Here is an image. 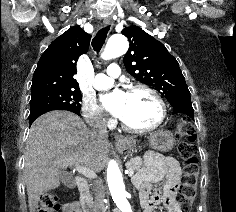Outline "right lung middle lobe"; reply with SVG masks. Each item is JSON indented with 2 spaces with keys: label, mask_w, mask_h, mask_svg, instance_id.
<instances>
[{
  "label": "right lung middle lobe",
  "mask_w": 236,
  "mask_h": 212,
  "mask_svg": "<svg viewBox=\"0 0 236 212\" xmlns=\"http://www.w3.org/2000/svg\"><path fill=\"white\" fill-rule=\"evenodd\" d=\"M82 101L79 89H51L31 94L30 114L43 110H68L80 113Z\"/></svg>",
  "instance_id": "1"
}]
</instances>
